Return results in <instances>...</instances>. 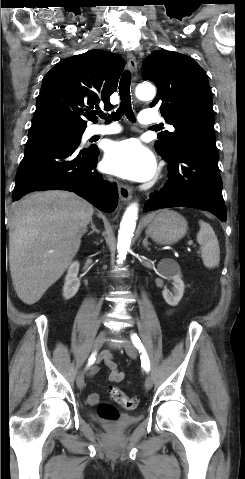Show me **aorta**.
<instances>
[{"instance_id":"obj_1","label":"aorta","mask_w":245,"mask_h":479,"mask_svg":"<svg viewBox=\"0 0 245 479\" xmlns=\"http://www.w3.org/2000/svg\"><path fill=\"white\" fill-rule=\"evenodd\" d=\"M136 96L142 100H150L155 96V88L149 84H141L136 88ZM138 218L137 203L131 204L125 211L122 221L120 223V230L118 234V264H122L126 259L127 251L130 248L131 239L136 227V220Z\"/></svg>"}]
</instances>
